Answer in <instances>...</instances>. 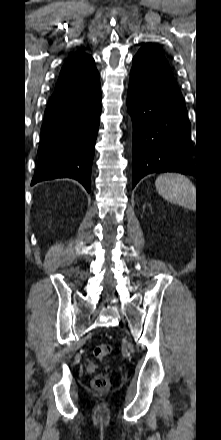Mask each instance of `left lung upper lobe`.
Segmentation results:
<instances>
[{"label": "left lung upper lobe", "mask_w": 221, "mask_h": 440, "mask_svg": "<svg viewBox=\"0 0 221 440\" xmlns=\"http://www.w3.org/2000/svg\"><path fill=\"white\" fill-rule=\"evenodd\" d=\"M140 50H146V51L150 52L153 56L158 58L162 63L169 66V64H168L167 60L165 59V57L163 56V54L157 48H155L153 45H150V44L144 45L141 47Z\"/></svg>", "instance_id": "obj_1"}]
</instances>
